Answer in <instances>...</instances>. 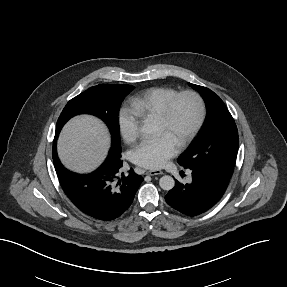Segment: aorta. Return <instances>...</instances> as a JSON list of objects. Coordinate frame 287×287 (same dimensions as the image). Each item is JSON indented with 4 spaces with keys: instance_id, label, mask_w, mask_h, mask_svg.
Listing matches in <instances>:
<instances>
[{
    "instance_id": "1",
    "label": "aorta",
    "mask_w": 287,
    "mask_h": 287,
    "mask_svg": "<svg viewBox=\"0 0 287 287\" xmlns=\"http://www.w3.org/2000/svg\"><path fill=\"white\" fill-rule=\"evenodd\" d=\"M153 130L154 128L150 124H145L144 126L141 127V132L143 134H152ZM159 185L163 190L169 191L175 186V181L173 177L165 175L160 178Z\"/></svg>"
}]
</instances>
